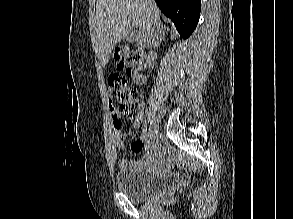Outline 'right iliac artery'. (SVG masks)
Segmentation results:
<instances>
[{
  "label": "right iliac artery",
  "mask_w": 293,
  "mask_h": 219,
  "mask_svg": "<svg viewBox=\"0 0 293 219\" xmlns=\"http://www.w3.org/2000/svg\"><path fill=\"white\" fill-rule=\"evenodd\" d=\"M147 137H150V130L145 134Z\"/></svg>",
  "instance_id": "1"
}]
</instances>
